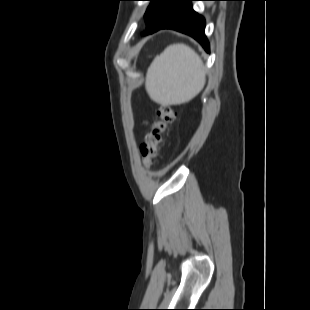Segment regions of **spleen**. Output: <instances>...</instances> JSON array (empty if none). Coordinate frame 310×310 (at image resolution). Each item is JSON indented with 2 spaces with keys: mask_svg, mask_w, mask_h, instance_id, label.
<instances>
[{
  "mask_svg": "<svg viewBox=\"0 0 310 310\" xmlns=\"http://www.w3.org/2000/svg\"><path fill=\"white\" fill-rule=\"evenodd\" d=\"M204 85L200 57L185 44L168 46L148 69L146 90L154 101L179 105L194 97Z\"/></svg>",
  "mask_w": 310,
  "mask_h": 310,
  "instance_id": "obj_1",
  "label": "spleen"
}]
</instances>
